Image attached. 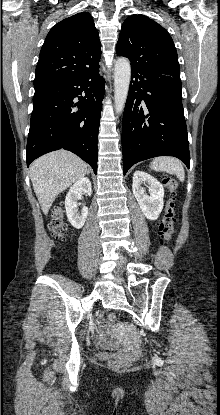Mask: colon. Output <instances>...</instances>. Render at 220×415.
Wrapping results in <instances>:
<instances>
[{
	"label": "colon",
	"instance_id": "colon-1",
	"mask_svg": "<svg viewBox=\"0 0 220 415\" xmlns=\"http://www.w3.org/2000/svg\"><path fill=\"white\" fill-rule=\"evenodd\" d=\"M164 185L170 193L165 212L159 224V234L163 240L168 241L174 233V195L177 190V182L172 178H165ZM50 230L56 240H64L68 233V226L64 219L63 209L57 207L53 210L50 220ZM117 320V313L111 311L107 314V321L114 324ZM110 366L116 370H124L130 366L126 359L116 358L110 362Z\"/></svg>",
	"mask_w": 220,
	"mask_h": 415
}]
</instances>
